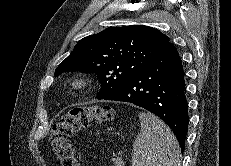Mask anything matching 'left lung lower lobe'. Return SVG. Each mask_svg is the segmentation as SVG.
Here are the masks:
<instances>
[{
    "instance_id": "left-lung-lower-lobe-1",
    "label": "left lung lower lobe",
    "mask_w": 231,
    "mask_h": 166,
    "mask_svg": "<svg viewBox=\"0 0 231 166\" xmlns=\"http://www.w3.org/2000/svg\"><path fill=\"white\" fill-rule=\"evenodd\" d=\"M140 106L160 117L184 150L189 117L182 62L170 42L152 62L102 98Z\"/></svg>"
}]
</instances>
